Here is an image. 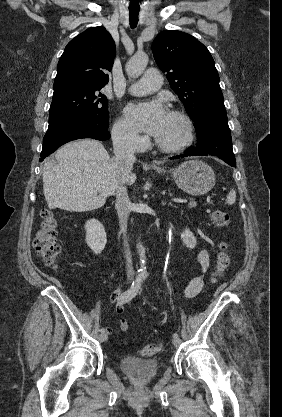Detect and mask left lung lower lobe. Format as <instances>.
I'll list each match as a JSON object with an SVG mask.
<instances>
[{
    "mask_svg": "<svg viewBox=\"0 0 282 417\" xmlns=\"http://www.w3.org/2000/svg\"><path fill=\"white\" fill-rule=\"evenodd\" d=\"M198 145L190 147L187 153L173 156L176 159L183 156L214 155L231 166H236L232 149V138L227 122L226 110L206 113L201 122L195 126Z\"/></svg>",
    "mask_w": 282,
    "mask_h": 417,
    "instance_id": "0a47b994",
    "label": "left lung lower lobe"
}]
</instances>
